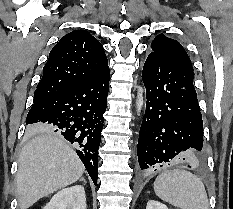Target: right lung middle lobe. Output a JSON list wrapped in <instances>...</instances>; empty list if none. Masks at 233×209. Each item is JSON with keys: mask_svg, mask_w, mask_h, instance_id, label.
Segmentation results:
<instances>
[{"mask_svg": "<svg viewBox=\"0 0 233 209\" xmlns=\"http://www.w3.org/2000/svg\"><path fill=\"white\" fill-rule=\"evenodd\" d=\"M44 129H46V130H50V131H52V128H50V127H48V126H42Z\"/></svg>", "mask_w": 233, "mask_h": 209, "instance_id": "dd1d6c3e", "label": "right lung middle lobe"}]
</instances>
